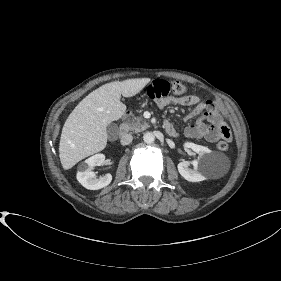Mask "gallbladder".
Listing matches in <instances>:
<instances>
[{"label":"gallbladder","instance_id":"obj_1","mask_svg":"<svg viewBox=\"0 0 281 281\" xmlns=\"http://www.w3.org/2000/svg\"><path fill=\"white\" fill-rule=\"evenodd\" d=\"M117 131H118L117 125L109 124L107 126V133H108V135L113 136V135H115L117 133Z\"/></svg>","mask_w":281,"mask_h":281}]
</instances>
